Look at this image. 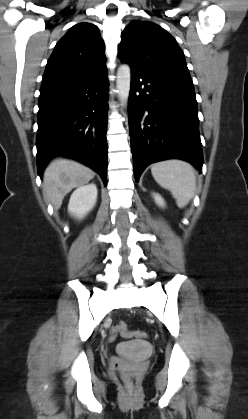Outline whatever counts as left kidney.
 I'll return each instance as SVG.
<instances>
[{"label": "left kidney", "instance_id": "left-kidney-1", "mask_svg": "<svg viewBox=\"0 0 248 419\" xmlns=\"http://www.w3.org/2000/svg\"><path fill=\"white\" fill-rule=\"evenodd\" d=\"M154 200L156 202V204L160 207H164L165 206V202L164 199L159 195V194H153Z\"/></svg>", "mask_w": 248, "mask_h": 419}]
</instances>
